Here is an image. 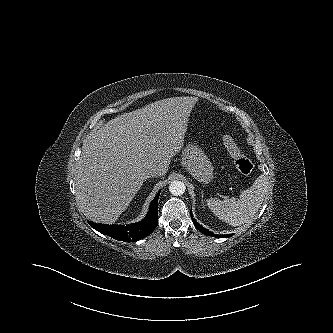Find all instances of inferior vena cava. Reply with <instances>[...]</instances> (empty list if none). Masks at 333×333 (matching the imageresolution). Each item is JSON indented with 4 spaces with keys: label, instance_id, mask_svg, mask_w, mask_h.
I'll list each match as a JSON object with an SVG mask.
<instances>
[{
    "label": "inferior vena cava",
    "instance_id": "inferior-vena-cava-1",
    "mask_svg": "<svg viewBox=\"0 0 333 333\" xmlns=\"http://www.w3.org/2000/svg\"><path fill=\"white\" fill-rule=\"evenodd\" d=\"M161 173L157 168H153L148 172V177L159 176Z\"/></svg>",
    "mask_w": 333,
    "mask_h": 333
}]
</instances>
